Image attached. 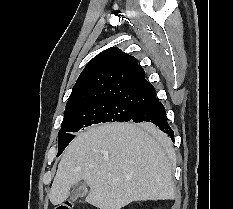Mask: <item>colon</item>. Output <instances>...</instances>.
Returning <instances> with one entry per match:
<instances>
[{
	"label": "colon",
	"mask_w": 233,
	"mask_h": 209,
	"mask_svg": "<svg viewBox=\"0 0 233 209\" xmlns=\"http://www.w3.org/2000/svg\"><path fill=\"white\" fill-rule=\"evenodd\" d=\"M54 209H73V204L71 202H63L55 206Z\"/></svg>",
	"instance_id": "5ec220e1"
}]
</instances>
